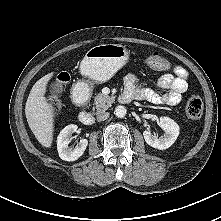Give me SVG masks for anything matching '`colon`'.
I'll return each instance as SVG.
<instances>
[{
    "mask_svg": "<svg viewBox=\"0 0 221 221\" xmlns=\"http://www.w3.org/2000/svg\"><path fill=\"white\" fill-rule=\"evenodd\" d=\"M146 65L156 71H166L169 69L170 64L169 61L163 55L158 52H153L146 58ZM58 80L64 82L58 77ZM49 104L54 113H57L61 109V101L53 96L49 100ZM203 112V102L200 96L191 95L186 103V114L192 119L196 120L201 117Z\"/></svg>",
    "mask_w": 221,
    "mask_h": 221,
    "instance_id": "1",
    "label": "colon"
}]
</instances>
